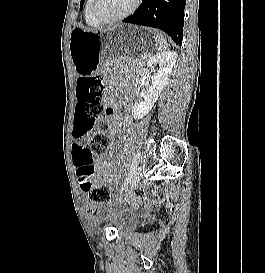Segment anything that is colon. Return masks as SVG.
<instances>
[{"mask_svg":"<svg viewBox=\"0 0 265 273\" xmlns=\"http://www.w3.org/2000/svg\"><path fill=\"white\" fill-rule=\"evenodd\" d=\"M103 90L104 83L99 77L80 76L77 80V105L72 117L73 139H86L87 134L96 130L84 146L83 159L102 155L109 146V138L104 133L109 109L103 102ZM94 176L93 168L80 171L78 182L81 190L87 193L91 204L108 203L111 199L110 187L105 183H97Z\"/></svg>","mask_w":265,"mask_h":273,"instance_id":"obj_1","label":"colon"}]
</instances>
